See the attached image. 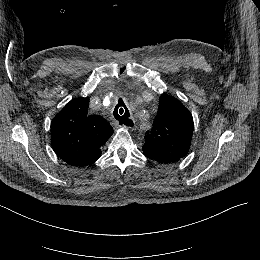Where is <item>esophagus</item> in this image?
<instances>
[{
	"instance_id": "esophagus-1",
	"label": "esophagus",
	"mask_w": 260,
	"mask_h": 260,
	"mask_svg": "<svg viewBox=\"0 0 260 260\" xmlns=\"http://www.w3.org/2000/svg\"><path fill=\"white\" fill-rule=\"evenodd\" d=\"M122 127L127 129H133L135 127V121L133 118H130L129 121H127L126 124H124Z\"/></svg>"
}]
</instances>
